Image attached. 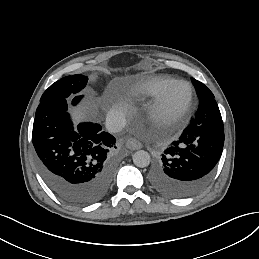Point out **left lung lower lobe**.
Wrapping results in <instances>:
<instances>
[{"mask_svg": "<svg viewBox=\"0 0 259 259\" xmlns=\"http://www.w3.org/2000/svg\"><path fill=\"white\" fill-rule=\"evenodd\" d=\"M224 125L214 97L200 100L189 126L164 151L151 170L155 191L172 198H184L203 189L221 157Z\"/></svg>", "mask_w": 259, "mask_h": 259, "instance_id": "1", "label": "left lung lower lobe"}]
</instances>
